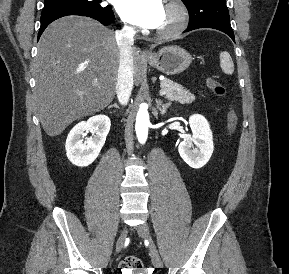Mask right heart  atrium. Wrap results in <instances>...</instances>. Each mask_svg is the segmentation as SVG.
Wrapping results in <instances>:
<instances>
[{"instance_id": "right-heart-atrium-1", "label": "right heart atrium", "mask_w": 289, "mask_h": 274, "mask_svg": "<svg viewBox=\"0 0 289 274\" xmlns=\"http://www.w3.org/2000/svg\"><path fill=\"white\" fill-rule=\"evenodd\" d=\"M124 29L126 31H132V28L130 26L126 25V24L124 25Z\"/></svg>"}]
</instances>
